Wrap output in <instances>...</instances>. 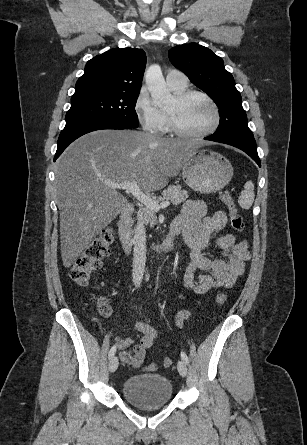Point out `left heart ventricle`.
Returning <instances> with one entry per match:
<instances>
[{
	"mask_svg": "<svg viewBox=\"0 0 307 445\" xmlns=\"http://www.w3.org/2000/svg\"><path fill=\"white\" fill-rule=\"evenodd\" d=\"M164 110L171 113L186 131L198 133L211 128L215 123L213 107L201 98L194 97L178 104L170 98Z\"/></svg>",
	"mask_w": 307,
	"mask_h": 445,
	"instance_id": "obj_1",
	"label": "left heart ventricle"
}]
</instances>
